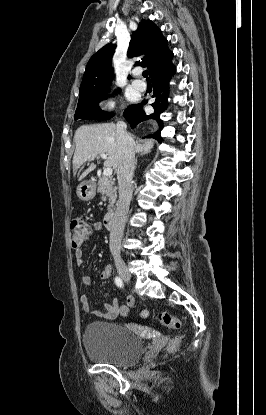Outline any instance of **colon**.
<instances>
[{
  "instance_id": "obj_1",
  "label": "colon",
  "mask_w": 266,
  "mask_h": 415,
  "mask_svg": "<svg viewBox=\"0 0 266 415\" xmlns=\"http://www.w3.org/2000/svg\"><path fill=\"white\" fill-rule=\"evenodd\" d=\"M90 235V226L86 222V220L82 217H76L72 219L70 223V241L74 248H78L81 246L89 237ZM147 311H142L141 316L146 317ZM159 321L162 326L170 328V329H180L181 328V322L180 320L173 316L170 313L163 312L159 315ZM182 341V336L177 335L174 337V339L171 341L168 351L173 352L177 349V347L180 345Z\"/></svg>"
}]
</instances>
